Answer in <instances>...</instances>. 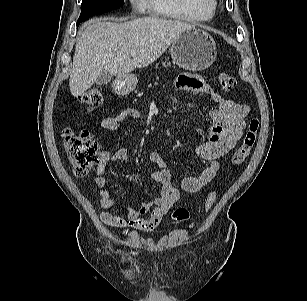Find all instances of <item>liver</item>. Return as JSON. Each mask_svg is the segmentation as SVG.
Listing matches in <instances>:
<instances>
[{"label": "liver", "mask_w": 307, "mask_h": 301, "mask_svg": "<svg viewBox=\"0 0 307 301\" xmlns=\"http://www.w3.org/2000/svg\"><path fill=\"white\" fill-rule=\"evenodd\" d=\"M194 26L161 17H143L124 23L107 21L88 25L76 42L69 79L71 94L78 97L103 72L117 77L144 68L158 59L179 35ZM136 52L133 59L130 53Z\"/></svg>", "instance_id": "liver-1"}]
</instances>
